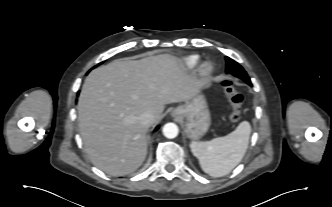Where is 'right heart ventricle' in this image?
<instances>
[{
  "mask_svg": "<svg viewBox=\"0 0 332 207\" xmlns=\"http://www.w3.org/2000/svg\"><path fill=\"white\" fill-rule=\"evenodd\" d=\"M184 61L188 67L192 68L198 63L199 57L197 55L188 56L184 59Z\"/></svg>",
  "mask_w": 332,
  "mask_h": 207,
  "instance_id": "obj_1",
  "label": "right heart ventricle"
}]
</instances>
